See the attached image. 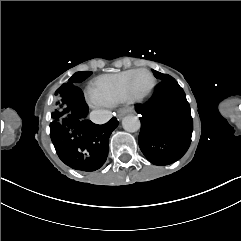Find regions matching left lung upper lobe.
<instances>
[{
	"mask_svg": "<svg viewBox=\"0 0 241 241\" xmlns=\"http://www.w3.org/2000/svg\"><path fill=\"white\" fill-rule=\"evenodd\" d=\"M153 73H154L155 77L160 79V80H166V79H170L171 78V76H169L167 74H162V73L154 71V70H153Z\"/></svg>",
	"mask_w": 241,
	"mask_h": 241,
	"instance_id": "left-lung-upper-lobe-1",
	"label": "left lung upper lobe"
}]
</instances>
